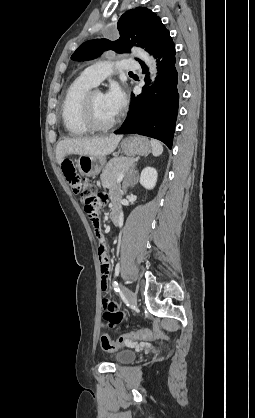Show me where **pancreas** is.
Masks as SVG:
<instances>
[{
  "label": "pancreas",
  "mask_w": 255,
  "mask_h": 418,
  "mask_svg": "<svg viewBox=\"0 0 255 418\" xmlns=\"http://www.w3.org/2000/svg\"><path fill=\"white\" fill-rule=\"evenodd\" d=\"M134 164V159L130 157L112 158L101 174L103 188L112 189L115 187L119 175L129 169Z\"/></svg>",
  "instance_id": "cf45deb5"
}]
</instances>
